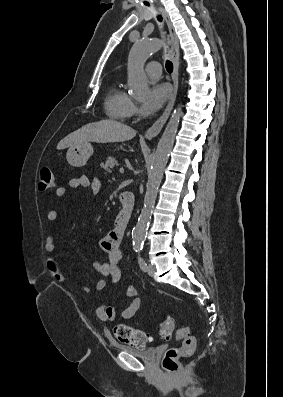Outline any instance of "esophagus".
I'll return each instance as SVG.
<instances>
[{
	"label": "esophagus",
	"instance_id": "34e87169",
	"mask_svg": "<svg viewBox=\"0 0 283 397\" xmlns=\"http://www.w3.org/2000/svg\"><path fill=\"white\" fill-rule=\"evenodd\" d=\"M159 11L162 13L167 27L169 31V37H170V43H171V51H170V59L173 63V74H172V80H173V93L172 96L162 113V115L156 120V122L146 131L145 137L147 139H152L156 137L161 129L163 128L164 124L166 123L176 100L177 92H178V86H179V41L178 37L175 33L174 27L170 21V18L166 11L163 8H159Z\"/></svg>",
	"mask_w": 283,
	"mask_h": 397
}]
</instances>
